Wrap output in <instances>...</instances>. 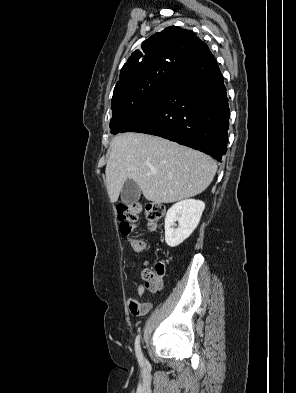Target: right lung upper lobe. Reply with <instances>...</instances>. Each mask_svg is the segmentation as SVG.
<instances>
[{"label":"right lung upper lobe","mask_w":296,"mask_h":393,"mask_svg":"<svg viewBox=\"0 0 296 393\" xmlns=\"http://www.w3.org/2000/svg\"><path fill=\"white\" fill-rule=\"evenodd\" d=\"M141 48L122 67L111 104L134 98L152 79L175 78L210 52L192 31L176 26L155 33Z\"/></svg>","instance_id":"right-lung-upper-lobe-1"}]
</instances>
